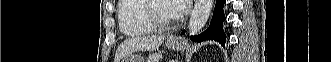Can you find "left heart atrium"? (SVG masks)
<instances>
[{"label": "left heart atrium", "mask_w": 331, "mask_h": 62, "mask_svg": "<svg viewBox=\"0 0 331 62\" xmlns=\"http://www.w3.org/2000/svg\"><path fill=\"white\" fill-rule=\"evenodd\" d=\"M172 14L177 17L184 14L190 5V0H171L168 1Z\"/></svg>", "instance_id": "39dd6f15"}]
</instances>
